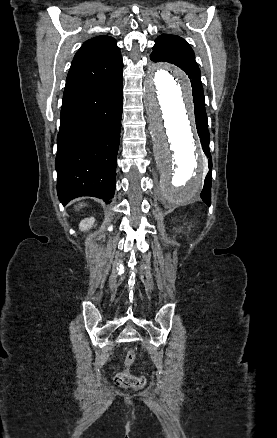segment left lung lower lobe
Here are the masks:
<instances>
[{"instance_id": "obj_1", "label": "left lung lower lobe", "mask_w": 277, "mask_h": 438, "mask_svg": "<svg viewBox=\"0 0 277 438\" xmlns=\"http://www.w3.org/2000/svg\"><path fill=\"white\" fill-rule=\"evenodd\" d=\"M195 112V111H194ZM195 120L197 132L200 137L202 149L205 152V155L209 158V169L212 168V160L209 151V131L207 124V116L206 113L195 112ZM202 200L209 206L211 203V171H209L208 175L205 179V184L203 191L201 193Z\"/></svg>"}]
</instances>
